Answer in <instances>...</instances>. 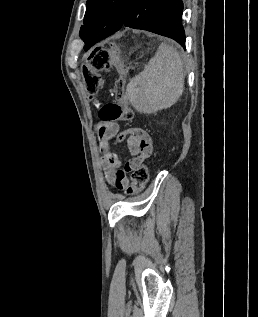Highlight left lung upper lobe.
<instances>
[{
    "label": "left lung upper lobe",
    "mask_w": 258,
    "mask_h": 317,
    "mask_svg": "<svg viewBox=\"0 0 258 317\" xmlns=\"http://www.w3.org/2000/svg\"><path fill=\"white\" fill-rule=\"evenodd\" d=\"M131 0H87L84 26L80 37L100 27L119 28L122 26Z\"/></svg>",
    "instance_id": "left-lung-upper-lobe-1"
}]
</instances>
